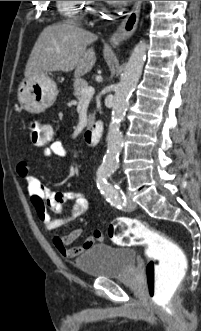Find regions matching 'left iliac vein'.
<instances>
[{"mask_svg": "<svg viewBox=\"0 0 201 331\" xmlns=\"http://www.w3.org/2000/svg\"><path fill=\"white\" fill-rule=\"evenodd\" d=\"M129 206H130L131 209H135L136 208V204L133 201H130Z\"/></svg>", "mask_w": 201, "mask_h": 331, "instance_id": "1", "label": "left iliac vein"}]
</instances>
